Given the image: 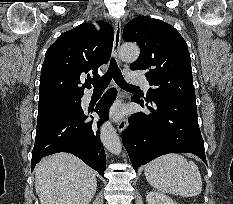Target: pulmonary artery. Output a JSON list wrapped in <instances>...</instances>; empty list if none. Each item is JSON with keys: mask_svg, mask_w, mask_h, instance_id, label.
Segmentation results:
<instances>
[{"mask_svg": "<svg viewBox=\"0 0 233 204\" xmlns=\"http://www.w3.org/2000/svg\"><path fill=\"white\" fill-rule=\"evenodd\" d=\"M128 81L131 84L141 85V86L145 87L146 89H149V87H150L148 81L141 75L129 74ZM89 97H90V95L86 96V98H89Z\"/></svg>", "mask_w": 233, "mask_h": 204, "instance_id": "e3ab8cb5", "label": "pulmonary artery"}]
</instances>
